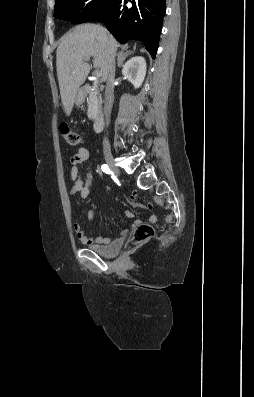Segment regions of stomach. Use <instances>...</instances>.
<instances>
[{
    "instance_id": "stomach-1",
    "label": "stomach",
    "mask_w": 254,
    "mask_h": 397,
    "mask_svg": "<svg viewBox=\"0 0 254 397\" xmlns=\"http://www.w3.org/2000/svg\"><path fill=\"white\" fill-rule=\"evenodd\" d=\"M85 95L82 90H78L75 98L76 105H81L84 102Z\"/></svg>"
}]
</instances>
